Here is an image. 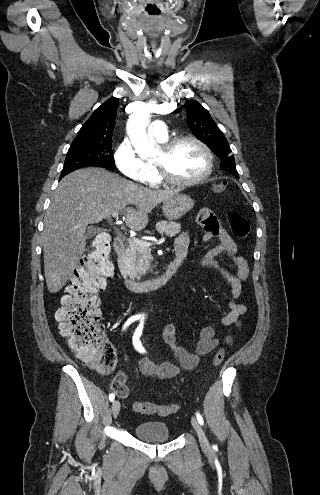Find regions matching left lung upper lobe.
<instances>
[{"instance_id":"5c2ea615","label":"left lung upper lobe","mask_w":320,"mask_h":495,"mask_svg":"<svg viewBox=\"0 0 320 495\" xmlns=\"http://www.w3.org/2000/svg\"><path fill=\"white\" fill-rule=\"evenodd\" d=\"M186 113L188 125L196 138L205 143L220 158V167L224 171L238 177L228 141L209 112L197 101H187Z\"/></svg>"}]
</instances>
